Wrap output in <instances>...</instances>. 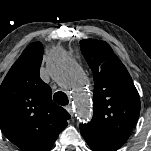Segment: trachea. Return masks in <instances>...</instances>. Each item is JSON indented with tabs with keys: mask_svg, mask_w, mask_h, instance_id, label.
<instances>
[{
	"mask_svg": "<svg viewBox=\"0 0 151 151\" xmlns=\"http://www.w3.org/2000/svg\"><path fill=\"white\" fill-rule=\"evenodd\" d=\"M53 100L59 104V105H62V106H65L68 104L69 100H68V97L67 95L62 92V91H58L54 94L53 96Z\"/></svg>",
	"mask_w": 151,
	"mask_h": 151,
	"instance_id": "3493384b",
	"label": "trachea"
}]
</instances>
